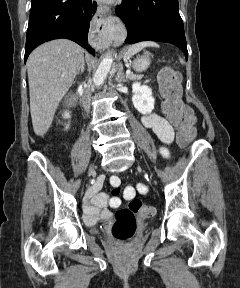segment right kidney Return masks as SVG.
Listing matches in <instances>:
<instances>
[{
  "instance_id": "ca27d5eb",
  "label": "right kidney",
  "mask_w": 240,
  "mask_h": 288,
  "mask_svg": "<svg viewBox=\"0 0 240 288\" xmlns=\"http://www.w3.org/2000/svg\"><path fill=\"white\" fill-rule=\"evenodd\" d=\"M63 117H64V118H70V115H69V113H68V112H65V114H64V116H63ZM68 126H69V125H67V126H66V129L68 128Z\"/></svg>"
}]
</instances>
